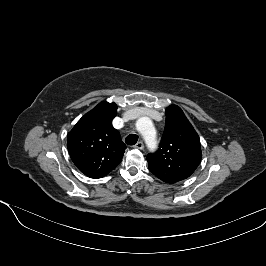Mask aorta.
Returning <instances> with one entry per match:
<instances>
[{
    "mask_svg": "<svg viewBox=\"0 0 266 266\" xmlns=\"http://www.w3.org/2000/svg\"><path fill=\"white\" fill-rule=\"evenodd\" d=\"M138 131L143 135V138L150 149L156 147V135L153 123L148 117H141L136 123Z\"/></svg>",
    "mask_w": 266,
    "mask_h": 266,
    "instance_id": "762f6f07",
    "label": "aorta"
}]
</instances>
